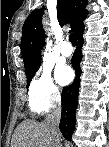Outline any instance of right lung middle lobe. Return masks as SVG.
I'll return each mask as SVG.
<instances>
[{
  "mask_svg": "<svg viewBox=\"0 0 109 147\" xmlns=\"http://www.w3.org/2000/svg\"><path fill=\"white\" fill-rule=\"evenodd\" d=\"M39 67H40V64L36 67H33V68L26 70L27 84L30 83L31 79L33 78L34 74L37 72Z\"/></svg>",
  "mask_w": 109,
  "mask_h": 147,
  "instance_id": "dd1d6c3e",
  "label": "right lung middle lobe"
}]
</instances>
